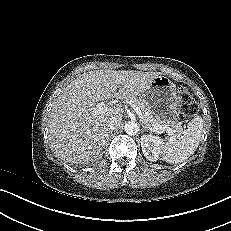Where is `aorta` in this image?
Listing matches in <instances>:
<instances>
[{"label":"aorta","instance_id":"1","mask_svg":"<svg viewBox=\"0 0 231 231\" xmlns=\"http://www.w3.org/2000/svg\"><path fill=\"white\" fill-rule=\"evenodd\" d=\"M124 130H125L126 134H128V135H131V136L136 135L137 132L139 131V126L136 122L129 121L125 124Z\"/></svg>","mask_w":231,"mask_h":231}]
</instances>
